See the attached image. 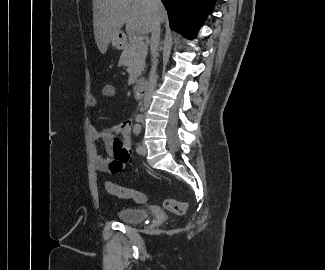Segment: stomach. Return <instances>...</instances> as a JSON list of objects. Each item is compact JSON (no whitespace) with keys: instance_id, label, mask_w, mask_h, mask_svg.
<instances>
[{"instance_id":"0dacf381","label":"stomach","mask_w":325,"mask_h":270,"mask_svg":"<svg viewBox=\"0 0 325 270\" xmlns=\"http://www.w3.org/2000/svg\"><path fill=\"white\" fill-rule=\"evenodd\" d=\"M112 44L117 49H123L127 44L126 37L119 33L113 38Z\"/></svg>"}]
</instances>
